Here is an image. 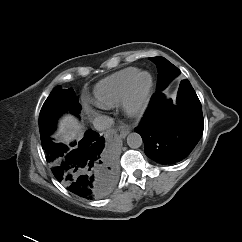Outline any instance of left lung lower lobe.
I'll return each mask as SVG.
<instances>
[{
	"label": "left lung lower lobe",
	"instance_id": "obj_1",
	"mask_svg": "<svg viewBox=\"0 0 242 242\" xmlns=\"http://www.w3.org/2000/svg\"><path fill=\"white\" fill-rule=\"evenodd\" d=\"M201 103L188 80L180 83L176 104L156 90L140 126L145 154L162 165L183 161L203 134Z\"/></svg>",
	"mask_w": 242,
	"mask_h": 242
}]
</instances>
